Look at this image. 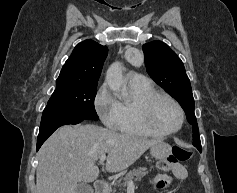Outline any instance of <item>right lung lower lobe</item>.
Wrapping results in <instances>:
<instances>
[{"instance_id": "1", "label": "right lung lower lobe", "mask_w": 237, "mask_h": 193, "mask_svg": "<svg viewBox=\"0 0 237 193\" xmlns=\"http://www.w3.org/2000/svg\"><path fill=\"white\" fill-rule=\"evenodd\" d=\"M84 119H75L53 112H43L40 131L37 138V151L45 140L60 126L67 124H78Z\"/></svg>"}]
</instances>
